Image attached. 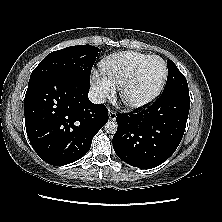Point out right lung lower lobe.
Listing matches in <instances>:
<instances>
[{
  "label": "right lung lower lobe",
  "mask_w": 222,
  "mask_h": 222,
  "mask_svg": "<svg viewBox=\"0 0 222 222\" xmlns=\"http://www.w3.org/2000/svg\"><path fill=\"white\" fill-rule=\"evenodd\" d=\"M90 82L51 75L30 82L24 115L29 141L39 157L61 166L83 157L108 121L104 105L88 99Z\"/></svg>",
  "instance_id": "obj_1"
}]
</instances>
